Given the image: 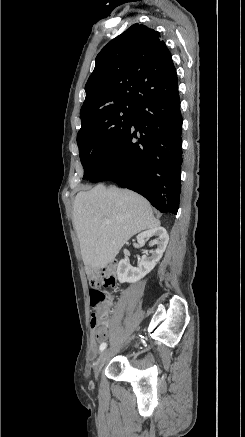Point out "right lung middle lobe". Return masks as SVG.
Returning a JSON list of instances; mask_svg holds the SVG:
<instances>
[{"mask_svg":"<svg viewBox=\"0 0 245 437\" xmlns=\"http://www.w3.org/2000/svg\"><path fill=\"white\" fill-rule=\"evenodd\" d=\"M135 105L117 104L107 107L81 124L77 135L80 160L87 179L110 155L129 127Z\"/></svg>","mask_w":245,"mask_h":437,"instance_id":"dd1d6c3e","label":"right lung middle lobe"}]
</instances>
